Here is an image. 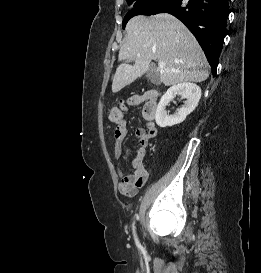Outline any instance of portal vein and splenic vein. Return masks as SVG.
I'll use <instances>...</instances> for the list:
<instances>
[{"instance_id": "18ae733b", "label": "portal vein and splenic vein", "mask_w": 261, "mask_h": 273, "mask_svg": "<svg viewBox=\"0 0 261 273\" xmlns=\"http://www.w3.org/2000/svg\"><path fill=\"white\" fill-rule=\"evenodd\" d=\"M158 66H159V68H160L161 70H163V69H164V62L158 61ZM167 71H170V70L167 69ZM172 71H174V70H172Z\"/></svg>"}]
</instances>
